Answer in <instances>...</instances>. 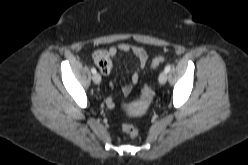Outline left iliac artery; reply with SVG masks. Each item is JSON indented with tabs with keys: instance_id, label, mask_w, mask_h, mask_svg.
Masks as SVG:
<instances>
[{
	"instance_id": "obj_1",
	"label": "left iliac artery",
	"mask_w": 248,
	"mask_h": 165,
	"mask_svg": "<svg viewBox=\"0 0 248 165\" xmlns=\"http://www.w3.org/2000/svg\"><path fill=\"white\" fill-rule=\"evenodd\" d=\"M170 69H171V66H170V65H167V66L165 67V72L168 73V72L170 71Z\"/></svg>"
}]
</instances>
